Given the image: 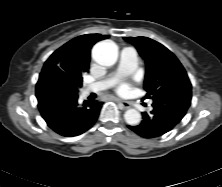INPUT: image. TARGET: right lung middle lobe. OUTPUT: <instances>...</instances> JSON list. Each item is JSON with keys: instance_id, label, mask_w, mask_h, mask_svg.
Returning <instances> with one entry per match:
<instances>
[{"instance_id": "1", "label": "right lung middle lobe", "mask_w": 222, "mask_h": 187, "mask_svg": "<svg viewBox=\"0 0 222 187\" xmlns=\"http://www.w3.org/2000/svg\"><path fill=\"white\" fill-rule=\"evenodd\" d=\"M56 72L63 78L72 91L78 92V89L82 86L81 73L70 67L58 68Z\"/></svg>"}]
</instances>
